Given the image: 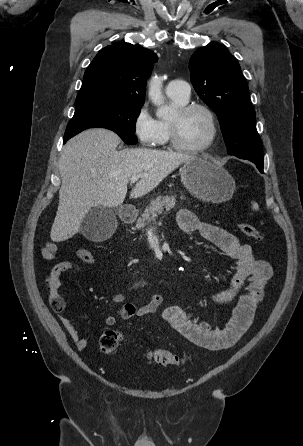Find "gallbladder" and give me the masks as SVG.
I'll list each match as a JSON object with an SVG mask.
<instances>
[{
    "label": "gallbladder",
    "instance_id": "gallbladder-1",
    "mask_svg": "<svg viewBox=\"0 0 303 446\" xmlns=\"http://www.w3.org/2000/svg\"><path fill=\"white\" fill-rule=\"evenodd\" d=\"M117 221L112 209L97 206L84 217L80 232L89 240L107 239L116 229Z\"/></svg>",
    "mask_w": 303,
    "mask_h": 446
}]
</instances>
